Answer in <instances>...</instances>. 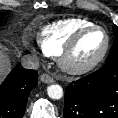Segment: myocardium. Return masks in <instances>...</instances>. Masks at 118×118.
Wrapping results in <instances>:
<instances>
[{
	"label": "myocardium",
	"mask_w": 118,
	"mask_h": 118,
	"mask_svg": "<svg viewBox=\"0 0 118 118\" xmlns=\"http://www.w3.org/2000/svg\"><path fill=\"white\" fill-rule=\"evenodd\" d=\"M96 30L103 32L106 38V44L101 54L90 63L84 64V65L73 64L71 62V58L75 49L79 45L80 41L83 39L84 36ZM110 45H111V38L108 31L105 28L99 25H95V24L82 28L73 35V37L65 45L61 53L58 55L59 67L63 72L69 75H82V74L88 73L94 70L103 62V60L105 59V57L107 56L109 52Z\"/></svg>",
	"instance_id": "myocardium-1"
}]
</instances>
